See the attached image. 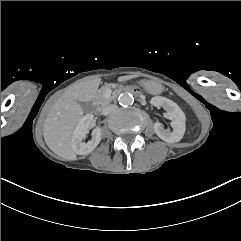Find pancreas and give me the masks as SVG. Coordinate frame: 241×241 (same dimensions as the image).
Returning <instances> with one entry per match:
<instances>
[{"instance_id": "1", "label": "pancreas", "mask_w": 241, "mask_h": 241, "mask_svg": "<svg viewBox=\"0 0 241 241\" xmlns=\"http://www.w3.org/2000/svg\"><path fill=\"white\" fill-rule=\"evenodd\" d=\"M97 99H98V101L96 103L99 104V105H102V106H105V105H107L111 102V99H107L105 97L103 89H100L98 91Z\"/></svg>"}]
</instances>
